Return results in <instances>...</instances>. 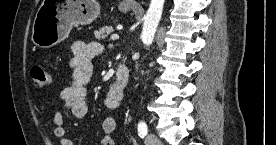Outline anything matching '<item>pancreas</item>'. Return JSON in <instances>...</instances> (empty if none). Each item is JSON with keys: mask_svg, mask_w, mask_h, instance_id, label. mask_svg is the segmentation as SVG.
I'll use <instances>...</instances> for the list:
<instances>
[{"mask_svg": "<svg viewBox=\"0 0 276 145\" xmlns=\"http://www.w3.org/2000/svg\"><path fill=\"white\" fill-rule=\"evenodd\" d=\"M113 28L110 26H105L99 29V31H95L94 35L97 40H104L106 39L112 32Z\"/></svg>", "mask_w": 276, "mask_h": 145, "instance_id": "pancreas-1", "label": "pancreas"}]
</instances>
